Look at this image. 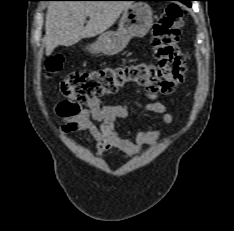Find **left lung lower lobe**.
<instances>
[{"label": "left lung lower lobe", "mask_w": 234, "mask_h": 231, "mask_svg": "<svg viewBox=\"0 0 234 231\" xmlns=\"http://www.w3.org/2000/svg\"><path fill=\"white\" fill-rule=\"evenodd\" d=\"M145 1H158V0H145ZM177 1H180V2H182L185 5L190 7L191 6V1H193V0H177Z\"/></svg>", "instance_id": "left-lung-lower-lobe-1"}]
</instances>
